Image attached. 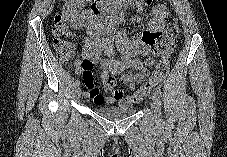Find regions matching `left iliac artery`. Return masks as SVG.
<instances>
[{
    "label": "left iliac artery",
    "mask_w": 227,
    "mask_h": 157,
    "mask_svg": "<svg viewBox=\"0 0 227 157\" xmlns=\"http://www.w3.org/2000/svg\"><path fill=\"white\" fill-rule=\"evenodd\" d=\"M155 93L159 96H162V91H161L160 87L155 88Z\"/></svg>",
    "instance_id": "44dca946"
}]
</instances>
